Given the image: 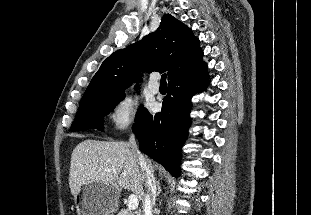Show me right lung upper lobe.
I'll list each match as a JSON object with an SVG mask.
<instances>
[{
    "mask_svg": "<svg viewBox=\"0 0 311 215\" xmlns=\"http://www.w3.org/2000/svg\"><path fill=\"white\" fill-rule=\"evenodd\" d=\"M202 56L199 39L191 29L172 15L165 14L155 32L117 50L102 63L80 103L101 96L124 94L133 82L141 80V72L167 71L170 81L196 68L203 62Z\"/></svg>",
    "mask_w": 311,
    "mask_h": 215,
    "instance_id": "1",
    "label": "right lung upper lobe"
}]
</instances>
